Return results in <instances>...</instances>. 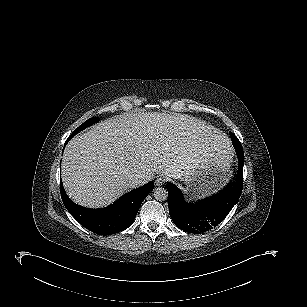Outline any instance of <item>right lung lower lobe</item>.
Here are the masks:
<instances>
[{"mask_svg":"<svg viewBox=\"0 0 307 307\" xmlns=\"http://www.w3.org/2000/svg\"><path fill=\"white\" fill-rule=\"evenodd\" d=\"M68 140L66 141V143ZM153 190V182L123 195L101 209H89L72 202L62 183L60 192L68 212L86 229L100 235H111L128 228L134 221L142 201Z\"/></svg>","mask_w":307,"mask_h":307,"instance_id":"1","label":"right lung lower lobe"}]
</instances>
